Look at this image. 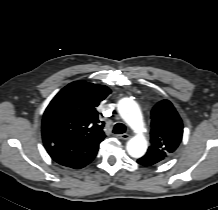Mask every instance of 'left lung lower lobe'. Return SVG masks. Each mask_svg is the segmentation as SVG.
I'll return each mask as SVG.
<instances>
[{
  "label": "left lung lower lobe",
  "instance_id": "obj_1",
  "mask_svg": "<svg viewBox=\"0 0 218 210\" xmlns=\"http://www.w3.org/2000/svg\"><path fill=\"white\" fill-rule=\"evenodd\" d=\"M138 163L141 164V165L149 166V165L146 164V161L143 160L142 158L138 159Z\"/></svg>",
  "mask_w": 218,
  "mask_h": 210
}]
</instances>
